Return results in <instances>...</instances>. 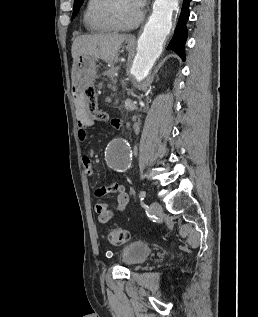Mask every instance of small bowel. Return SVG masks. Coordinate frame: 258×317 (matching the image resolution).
Listing matches in <instances>:
<instances>
[{
  "mask_svg": "<svg viewBox=\"0 0 258 317\" xmlns=\"http://www.w3.org/2000/svg\"><path fill=\"white\" fill-rule=\"evenodd\" d=\"M110 124L115 128H119L121 126L118 120H111ZM89 125L90 124L87 120L79 121L78 138L81 142L86 141L88 137L86 129ZM82 164L85 174L87 176H92L94 174V170L91 159L88 156H84L82 158ZM109 194L116 195V200L113 205H110L107 202H99L95 206V211L98 215V221L102 224L108 223L117 215L123 213L126 210L129 202V197L125 191V187L121 184L110 183L96 190V195L98 197H104Z\"/></svg>",
  "mask_w": 258,
  "mask_h": 317,
  "instance_id": "small-bowel-1",
  "label": "small bowel"
}]
</instances>
